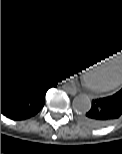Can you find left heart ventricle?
<instances>
[{"label": "left heart ventricle", "mask_w": 122, "mask_h": 154, "mask_svg": "<svg viewBox=\"0 0 122 154\" xmlns=\"http://www.w3.org/2000/svg\"><path fill=\"white\" fill-rule=\"evenodd\" d=\"M107 65L108 62H106L105 64L103 63L102 65L95 67L93 73L91 72V74H101L97 79L92 82L93 84L101 85L110 83L116 80L122 74V69L101 73L104 70V67Z\"/></svg>", "instance_id": "obj_1"}]
</instances>
